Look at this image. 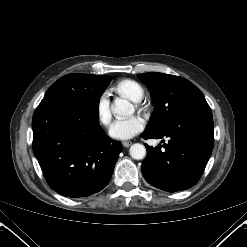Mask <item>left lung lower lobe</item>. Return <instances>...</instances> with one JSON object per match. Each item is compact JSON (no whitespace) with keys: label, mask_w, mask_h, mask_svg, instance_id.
I'll return each mask as SVG.
<instances>
[{"label":"left lung lower lobe","mask_w":247,"mask_h":247,"mask_svg":"<svg viewBox=\"0 0 247 247\" xmlns=\"http://www.w3.org/2000/svg\"><path fill=\"white\" fill-rule=\"evenodd\" d=\"M142 137L169 139L163 144L165 149L161 145L153 148L145 144L147 156L141 166L145 179L168 192L189 189L200 179L212 153V112L193 113L161 131L145 130Z\"/></svg>","instance_id":"1"}]
</instances>
